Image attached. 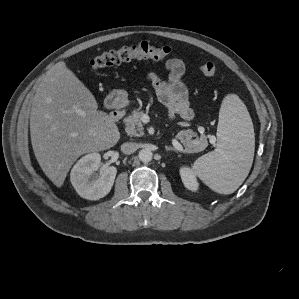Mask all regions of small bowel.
I'll return each mask as SVG.
<instances>
[{
  "mask_svg": "<svg viewBox=\"0 0 299 299\" xmlns=\"http://www.w3.org/2000/svg\"><path fill=\"white\" fill-rule=\"evenodd\" d=\"M165 68L169 72L166 81L153 72L147 75V80L153 86L157 99L167 107L171 117L179 115L184 120H191L193 110L188 103L184 62L179 58H172L165 63Z\"/></svg>",
  "mask_w": 299,
  "mask_h": 299,
  "instance_id": "1",
  "label": "small bowel"
}]
</instances>
